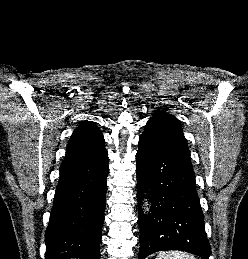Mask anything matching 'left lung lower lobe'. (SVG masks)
Segmentation results:
<instances>
[{"label":"left lung lower lobe","mask_w":248,"mask_h":259,"mask_svg":"<svg viewBox=\"0 0 248 259\" xmlns=\"http://www.w3.org/2000/svg\"><path fill=\"white\" fill-rule=\"evenodd\" d=\"M136 159L138 204L145 190L151 203L148 215L139 207L138 259L165 250L187 251L208 259L210 245L192 167L142 140Z\"/></svg>","instance_id":"1"}]
</instances>
